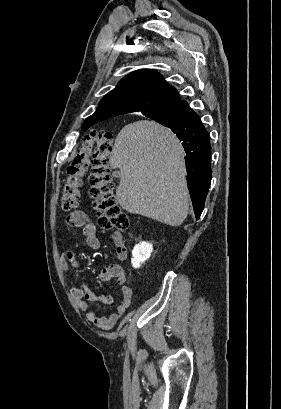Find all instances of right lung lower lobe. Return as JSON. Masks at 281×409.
I'll list each match as a JSON object with an SVG mask.
<instances>
[{
    "instance_id": "obj_1",
    "label": "right lung lower lobe",
    "mask_w": 281,
    "mask_h": 409,
    "mask_svg": "<svg viewBox=\"0 0 281 409\" xmlns=\"http://www.w3.org/2000/svg\"><path fill=\"white\" fill-rule=\"evenodd\" d=\"M153 118L175 116L178 121L168 126L182 142L187 160L186 169L189 191L196 219H199L211 182V146L207 130L200 117L189 108L186 101H180L158 110L142 112Z\"/></svg>"
}]
</instances>
